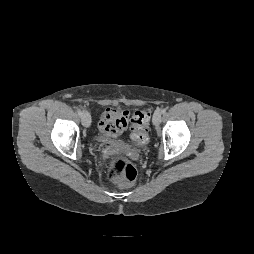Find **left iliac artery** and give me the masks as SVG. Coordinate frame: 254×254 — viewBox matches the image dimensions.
Listing matches in <instances>:
<instances>
[{"instance_id":"left-iliac-artery-1","label":"left iliac artery","mask_w":254,"mask_h":254,"mask_svg":"<svg viewBox=\"0 0 254 254\" xmlns=\"http://www.w3.org/2000/svg\"><path fill=\"white\" fill-rule=\"evenodd\" d=\"M165 112H166V109L163 108V109L161 110V113L164 114Z\"/></svg>"}]
</instances>
